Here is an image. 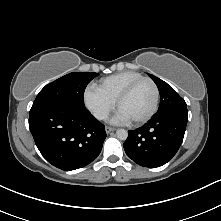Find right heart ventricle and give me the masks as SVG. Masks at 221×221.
Returning a JSON list of instances; mask_svg holds the SVG:
<instances>
[{
    "mask_svg": "<svg viewBox=\"0 0 221 221\" xmlns=\"http://www.w3.org/2000/svg\"><path fill=\"white\" fill-rule=\"evenodd\" d=\"M142 77L138 72L125 71L103 78L96 88L110 100L116 102L119 95L130 83Z\"/></svg>",
    "mask_w": 221,
    "mask_h": 221,
    "instance_id": "1",
    "label": "right heart ventricle"
}]
</instances>
